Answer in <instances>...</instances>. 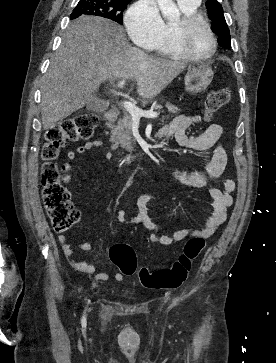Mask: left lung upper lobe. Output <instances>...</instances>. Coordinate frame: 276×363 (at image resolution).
I'll use <instances>...</instances> for the list:
<instances>
[{"instance_id":"5c2ea615","label":"left lung upper lobe","mask_w":276,"mask_h":363,"mask_svg":"<svg viewBox=\"0 0 276 363\" xmlns=\"http://www.w3.org/2000/svg\"><path fill=\"white\" fill-rule=\"evenodd\" d=\"M209 17L212 21L211 29L219 36L218 43L220 46L229 49L231 45V37L229 28L226 24L222 6L217 0H208L206 3Z\"/></svg>"}]
</instances>
